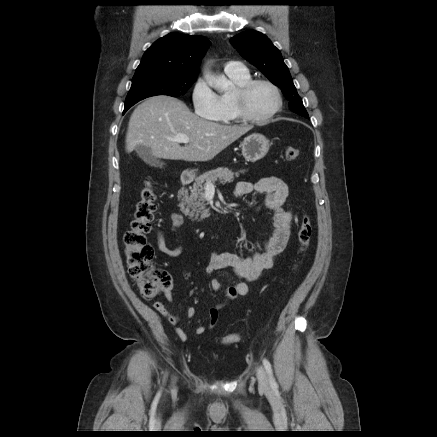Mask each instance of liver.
<instances>
[{"label":"liver","mask_w":437,"mask_h":437,"mask_svg":"<svg viewBox=\"0 0 437 437\" xmlns=\"http://www.w3.org/2000/svg\"><path fill=\"white\" fill-rule=\"evenodd\" d=\"M251 126H229L193 114L185 103L169 96L146 99L133 111L126 134V151L138 145L151 149L157 158L206 162L251 130ZM178 134L189 138L180 146Z\"/></svg>","instance_id":"liver-1"}]
</instances>
